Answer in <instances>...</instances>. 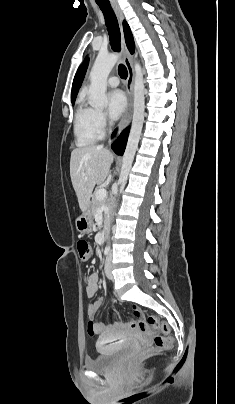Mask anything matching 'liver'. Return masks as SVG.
Listing matches in <instances>:
<instances>
[{"label":"liver","instance_id":"obj_1","mask_svg":"<svg viewBox=\"0 0 235 404\" xmlns=\"http://www.w3.org/2000/svg\"><path fill=\"white\" fill-rule=\"evenodd\" d=\"M112 161L111 152L101 145L79 147L71 152L70 177L82 212L90 205L95 185L105 181Z\"/></svg>","mask_w":235,"mask_h":404}]
</instances>
